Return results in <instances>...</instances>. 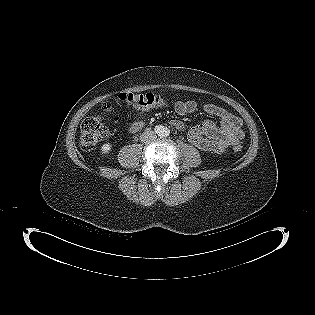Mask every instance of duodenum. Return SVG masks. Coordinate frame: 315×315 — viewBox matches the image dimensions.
I'll return each mask as SVG.
<instances>
[{
	"label": "duodenum",
	"instance_id": "obj_1",
	"mask_svg": "<svg viewBox=\"0 0 315 315\" xmlns=\"http://www.w3.org/2000/svg\"><path fill=\"white\" fill-rule=\"evenodd\" d=\"M140 127L139 126H137V125H132V127H131V129L134 131V130H137V129H139Z\"/></svg>",
	"mask_w": 315,
	"mask_h": 315
}]
</instances>
